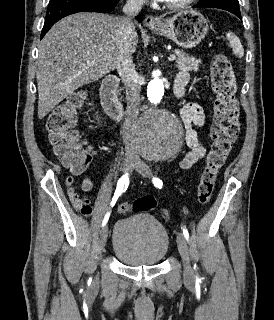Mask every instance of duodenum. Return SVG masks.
<instances>
[{"instance_id":"410a0bca","label":"duodenum","mask_w":274,"mask_h":320,"mask_svg":"<svg viewBox=\"0 0 274 320\" xmlns=\"http://www.w3.org/2000/svg\"><path fill=\"white\" fill-rule=\"evenodd\" d=\"M119 84L120 80L117 76H109L103 81L100 90L103 108L116 120H120L124 114L122 103L118 97Z\"/></svg>"}]
</instances>
